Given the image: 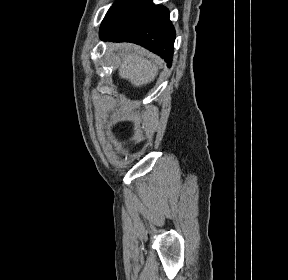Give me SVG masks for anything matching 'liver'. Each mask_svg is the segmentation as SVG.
<instances>
[{
	"label": "liver",
	"instance_id": "1",
	"mask_svg": "<svg viewBox=\"0 0 288 280\" xmlns=\"http://www.w3.org/2000/svg\"><path fill=\"white\" fill-rule=\"evenodd\" d=\"M118 56L121 60L119 76L129 80L135 87L146 85L156 78L158 68L144 57L142 50L127 45L120 49Z\"/></svg>",
	"mask_w": 288,
	"mask_h": 280
}]
</instances>
